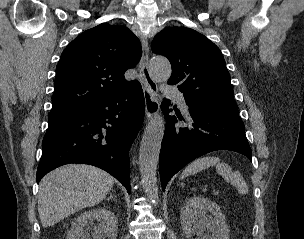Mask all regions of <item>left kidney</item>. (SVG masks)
Listing matches in <instances>:
<instances>
[{"mask_svg":"<svg viewBox=\"0 0 304 239\" xmlns=\"http://www.w3.org/2000/svg\"><path fill=\"white\" fill-rule=\"evenodd\" d=\"M180 219L183 233L189 238L197 233L198 239H229L224 214L215 202L207 198L188 199L181 209Z\"/></svg>","mask_w":304,"mask_h":239,"instance_id":"1","label":"left kidney"}]
</instances>
